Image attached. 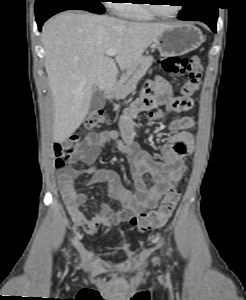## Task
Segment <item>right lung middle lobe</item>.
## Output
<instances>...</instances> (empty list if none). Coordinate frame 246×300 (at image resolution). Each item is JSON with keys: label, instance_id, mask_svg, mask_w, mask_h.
I'll list each match as a JSON object with an SVG mask.
<instances>
[{"label": "right lung middle lobe", "instance_id": "right-lung-middle-lobe-1", "mask_svg": "<svg viewBox=\"0 0 246 300\" xmlns=\"http://www.w3.org/2000/svg\"><path fill=\"white\" fill-rule=\"evenodd\" d=\"M52 1H56V0H36L35 9H39V8L43 7L44 5H46L47 3L52 2ZM78 1L83 2L91 9H94L95 11H97L101 14L105 12V9H104L103 5L101 4V0H78Z\"/></svg>", "mask_w": 246, "mask_h": 300}]
</instances>
